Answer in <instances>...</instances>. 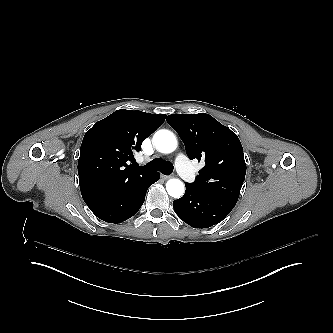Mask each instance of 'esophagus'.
<instances>
[{
    "instance_id": "esophagus-1",
    "label": "esophagus",
    "mask_w": 333,
    "mask_h": 333,
    "mask_svg": "<svg viewBox=\"0 0 333 333\" xmlns=\"http://www.w3.org/2000/svg\"><path fill=\"white\" fill-rule=\"evenodd\" d=\"M161 178L164 180H168L169 178H171V176L169 175H161Z\"/></svg>"
}]
</instances>
